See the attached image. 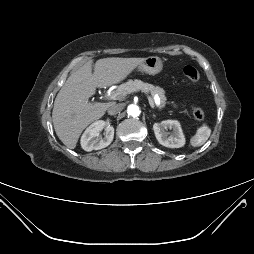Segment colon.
Here are the masks:
<instances>
[{
  "instance_id": "1",
  "label": "colon",
  "mask_w": 254,
  "mask_h": 254,
  "mask_svg": "<svg viewBox=\"0 0 254 254\" xmlns=\"http://www.w3.org/2000/svg\"><path fill=\"white\" fill-rule=\"evenodd\" d=\"M182 74L184 78L192 84H196L200 79L199 72L196 70V68L190 65H187L182 69ZM193 116L196 120L202 121L205 117L203 109L200 107H195L193 109Z\"/></svg>"
}]
</instances>
